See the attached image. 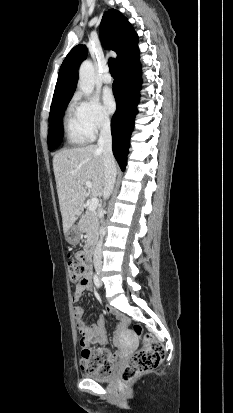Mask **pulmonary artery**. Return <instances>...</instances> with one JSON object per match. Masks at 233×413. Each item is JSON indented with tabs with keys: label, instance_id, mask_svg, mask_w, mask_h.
I'll return each mask as SVG.
<instances>
[{
	"label": "pulmonary artery",
	"instance_id": "pulmonary-artery-1",
	"mask_svg": "<svg viewBox=\"0 0 233 413\" xmlns=\"http://www.w3.org/2000/svg\"><path fill=\"white\" fill-rule=\"evenodd\" d=\"M112 76H111V74H110V72H109V69L108 68H105V70H104V73H103V75H102V81L105 83V84H110L111 82H112Z\"/></svg>",
	"mask_w": 233,
	"mask_h": 413
}]
</instances>
